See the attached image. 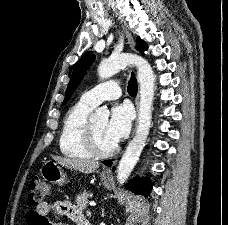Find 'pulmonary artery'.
<instances>
[{
  "mask_svg": "<svg viewBox=\"0 0 228 225\" xmlns=\"http://www.w3.org/2000/svg\"><path fill=\"white\" fill-rule=\"evenodd\" d=\"M120 90H122V85H109L108 81H103L102 85H96V89L84 92L81 100L95 107L102 101L119 98Z\"/></svg>",
  "mask_w": 228,
  "mask_h": 225,
  "instance_id": "e3ab8cb5",
  "label": "pulmonary artery"
}]
</instances>
